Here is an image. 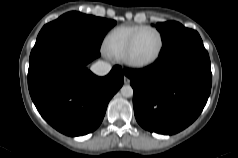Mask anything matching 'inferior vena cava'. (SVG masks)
<instances>
[{"label": "inferior vena cava", "mask_w": 238, "mask_h": 158, "mask_svg": "<svg viewBox=\"0 0 238 158\" xmlns=\"http://www.w3.org/2000/svg\"><path fill=\"white\" fill-rule=\"evenodd\" d=\"M111 68L112 66L109 63L97 61L91 66V71L98 76H105L110 72Z\"/></svg>", "instance_id": "obj_1"}]
</instances>
